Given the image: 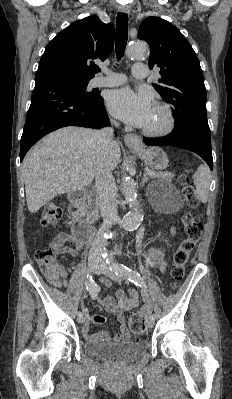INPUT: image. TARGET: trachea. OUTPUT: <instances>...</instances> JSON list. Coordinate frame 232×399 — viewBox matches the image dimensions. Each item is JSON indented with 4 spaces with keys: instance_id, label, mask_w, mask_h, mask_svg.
Here are the masks:
<instances>
[{
    "instance_id": "3493384b",
    "label": "trachea",
    "mask_w": 232,
    "mask_h": 399,
    "mask_svg": "<svg viewBox=\"0 0 232 399\" xmlns=\"http://www.w3.org/2000/svg\"><path fill=\"white\" fill-rule=\"evenodd\" d=\"M128 40V16L126 13L119 12L116 21V43L115 50L117 59L124 56L126 44ZM100 72V69H98Z\"/></svg>"
}]
</instances>
